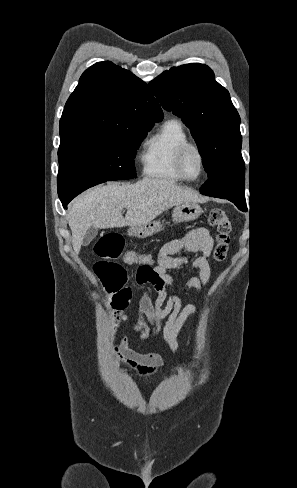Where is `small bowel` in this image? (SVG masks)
Returning <instances> with one entry per match:
<instances>
[{
	"instance_id": "obj_1",
	"label": "small bowel",
	"mask_w": 297,
	"mask_h": 488,
	"mask_svg": "<svg viewBox=\"0 0 297 488\" xmlns=\"http://www.w3.org/2000/svg\"><path fill=\"white\" fill-rule=\"evenodd\" d=\"M213 238L205 227L193 229L180 238L165 243L159 250L146 283L153 286L157 292L154 303L151 302L147 292L142 291L138 296V303L154 323L148 338H154L161 330V321L167 318L163 329L164 340L172 353H176V334L182 323L189 315L198 313L194 305H183L179 294L174 291L176 279L171 273L173 270L190 265L191 270L198 272V277L184 279L180 290L195 289L201 294L206 286L210 265L209 256L213 249ZM144 254L134 251L126 252L123 257L129 265H140ZM117 358L126 368L138 378H147L154 375L163 365V358L159 353H140L131 349L127 339L122 338Z\"/></svg>"
}]
</instances>
